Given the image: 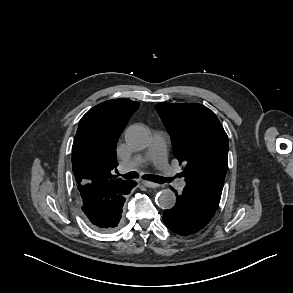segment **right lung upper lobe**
<instances>
[{"label":"right lung upper lobe","mask_w":293,"mask_h":293,"mask_svg":"<svg viewBox=\"0 0 293 293\" xmlns=\"http://www.w3.org/2000/svg\"><path fill=\"white\" fill-rule=\"evenodd\" d=\"M138 102L128 99L105 101L80 120L72 146V165L78 184L121 182L114 177L118 165L116 144Z\"/></svg>","instance_id":"1"}]
</instances>
